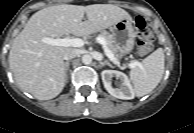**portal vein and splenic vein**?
Masks as SVG:
<instances>
[{
    "label": "portal vein and splenic vein",
    "mask_w": 194,
    "mask_h": 133,
    "mask_svg": "<svg viewBox=\"0 0 194 133\" xmlns=\"http://www.w3.org/2000/svg\"><path fill=\"white\" fill-rule=\"evenodd\" d=\"M96 41L102 45V48H103L105 55L114 64L119 65V62L114 57L113 53L108 49L107 42H106L105 38L97 37ZM42 42L53 45V46H64V47H82L85 44V42L80 38H69V37H65L63 39H61V38L53 39V38H49V37H43ZM139 65H140L139 62H131L130 64H128V67L135 68L136 66H139Z\"/></svg>",
    "instance_id": "portal-vein-and-splenic-vein-1"
}]
</instances>
